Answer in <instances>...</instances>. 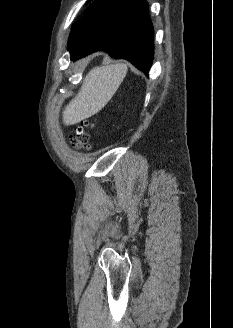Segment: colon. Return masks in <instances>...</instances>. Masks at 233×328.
<instances>
[{"label": "colon", "instance_id": "obj_1", "mask_svg": "<svg viewBox=\"0 0 233 328\" xmlns=\"http://www.w3.org/2000/svg\"><path fill=\"white\" fill-rule=\"evenodd\" d=\"M88 123L81 124L77 129L75 135L71 139V143L76 148H84L89 143Z\"/></svg>", "mask_w": 233, "mask_h": 328}]
</instances>
